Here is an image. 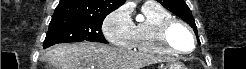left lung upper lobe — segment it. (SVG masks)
Wrapping results in <instances>:
<instances>
[{
  "label": "left lung upper lobe",
  "mask_w": 246,
  "mask_h": 69,
  "mask_svg": "<svg viewBox=\"0 0 246 69\" xmlns=\"http://www.w3.org/2000/svg\"><path fill=\"white\" fill-rule=\"evenodd\" d=\"M157 1L160 2L166 9L173 12L175 15H177L185 22H187L193 28L195 34L198 35L194 18L191 14L189 7L183 0H157ZM197 40L200 43L198 37Z\"/></svg>",
  "instance_id": "obj_1"
}]
</instances>
